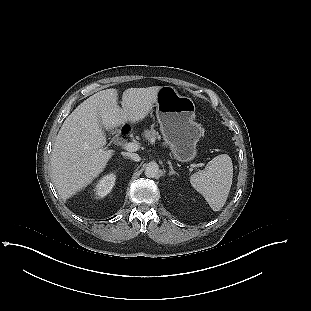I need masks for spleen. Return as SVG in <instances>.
Listing matches in <instances>:
<instances>
[{"label":"spleen","instance_id":"obj_1","mask_svg":"<svg viewBox=\"0 0 311 311\" xmlns=\"http://www.w3.org/2000/svg\"><path fill=\"white\" fill-rule=\"evenodd\" d=\"M233 178L231 158L221 154L209 161L205 169L191 175L190 183L203 195L214 211H219L225 204Z\"/></svg>","mask_w":311,"mask_h":311}]
</instances>
